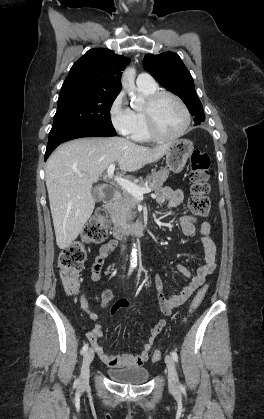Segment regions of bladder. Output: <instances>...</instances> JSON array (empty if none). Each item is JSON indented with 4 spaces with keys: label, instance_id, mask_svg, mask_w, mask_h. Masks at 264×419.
I'll list each match as a JSON object with an SVG mask.
<instances>
[{
    "label": "bladder",
    "instance_id": "obj_1",
    "mask_svg": "<svg viewBox=\"0 0 264 419\" xmlns=\"http://www.w3.org/2000/svg\"><path fill=\"white\" fill-rule=\"evenodd\" d=\"M108 377L122 384H143L150 377L149 371L140 366H131L121 369L109 368L106 370Z\"/></svg>",
    "mask_w": 264,
    "mask_h": 419
}]
</instances>
